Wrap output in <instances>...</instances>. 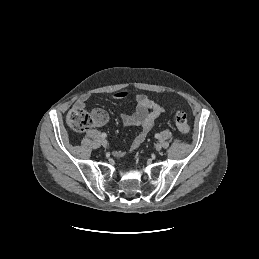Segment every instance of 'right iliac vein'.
<instances>
[{"label": "right iliac vein", "mask_w": 259, "mask_h": 259, "mask_svg": "<svg viewBox=\"0 0 259 259\" xmlns=\"http://www.w3.org/2000/svg\"><path fill=\"white\" fill-rule=\"evenodd\" d=\"M101 143H102V145H103L104 147H107V146H108V142H107V140L104 139V138L101 140Z\"/></svg>", "instance_id": "63e3f726"}]
</instances>
